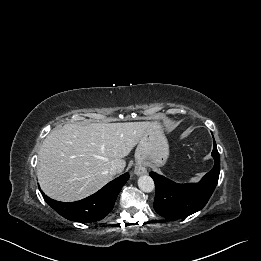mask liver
Returning <instances> with one entry per match:
<instances>
[{
	"mask_svg": "<svg viewBox=\"0 0 261 261\" xmlns=\"http://www.w3.org/2000/svg\"><path fill=\"white\" fill-rule=\"evenodd\" d=\"M151 126V122L65 124L52 130L38 153L41 189L63 202L95 193L113 179L112 166L124 170L123 158Z\"/></svg>",
	"mask_w": 261,
	"mask_h": 261,
	"instance_id": "obj_1",
	"label": "liver"
}]
</instances>
